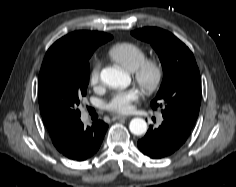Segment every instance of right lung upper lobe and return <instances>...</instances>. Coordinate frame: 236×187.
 <instances>
[{"instance_id": "obj_1", "label": "right lung upper lobe", "mask_w": 236, "mask_h": 187, "mask_svg": "<svg viewBox=\"0 0 236 187\" xmlns=\"http://www.w3.org/2000/svg\"><path fill=\"white\" fill-rule=\"evenodd\" d=\"M110 39H112V36L103 32L75 31L57 40L50 48L81 49L104 40L109 41ZM42 118L50 133L53 144L58 151L62 150L69 133L77 122H65L49 117Z\"/></svg>"}]
</instances>
